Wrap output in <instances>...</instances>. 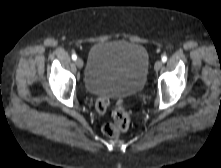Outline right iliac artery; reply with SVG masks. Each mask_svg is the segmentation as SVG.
Here are the masks:
<instances>
[{
	"label": "right iliac artery",
	"instance_id": "82829eb1",
	"mask_svg": "<svg viewBox=\"0 0 221 168\" xmlns=\"http://www.w3.org/2000/svg\"><path fill=\"white\" fill-rule=\"evenodd\" d=\"M72 59H73V60H76V59H77V55H76V54H73V55H72Z\"/></svg>",
	"mask_w": 221,
	"mask_h": 168
}]
</instances>
